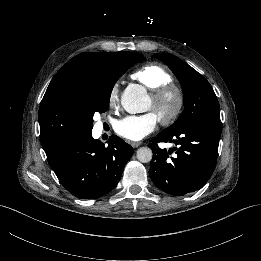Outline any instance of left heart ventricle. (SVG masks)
<instances>
[{
	"label": "left heart ventricle",
	"instance_id": "b2bd125f",
	"mask_svg": "<svg viewBox=\"0 0 261 261\" xmlns=\"http://www.w3.org/2000/svg\"><path fill=\"white\" fill-rule=\"evenodd\" d=\"M173 104H174V100L173 99H166L163 103H162V105H161V107H160V111H162V112H167V111H169L171 108H172V106H173ZM149 108H151V101L149 100V103H148V109ZM155 113H156V115H157V112L156 111H154Z\"/></svg>",
	"mask_w": 261,
	"mask_h": 261
}]
</instances>
